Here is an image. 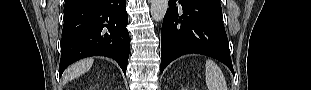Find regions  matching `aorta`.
Listing matches in <instances>:
<instances>
[{"mask_svg": "<svg viewBox=\"0 0 311 90\" xmlns=\"http://www.w3.org/2000/svg\"><path fill=\"white\" fill-rule=\"evenodd\" d=\"M168 8V0H151V16L152 18L159 22L163 20Z\"/></svg>", "mask_w": 311, "mask_h": 90, "instance_id": "aorta-1", "label": "aorta"}]
</instances>
